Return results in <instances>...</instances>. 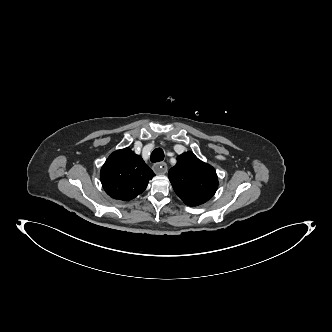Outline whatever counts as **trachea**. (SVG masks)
Wrapping results in <instances>:
<instances>
[{
    "label": "trachea",
    "mask_w": 332,
    "mask_h": 332,
    "mask_svg": "<svg viewBox=\"0 0 332 332\" xmlns=\"http://www.w3.org/2000/svg\"><path fill=\"white\" fill-rule=\"evenodd\" d=\"M164 159V152L161 148H156L152 153L150 160L151 162H160Z\"/></svg>",
    "instance_id": "obj_1"
}]
</instances>
